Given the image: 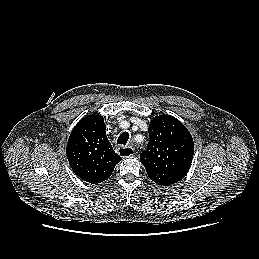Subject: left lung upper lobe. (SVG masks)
<instances>
[{
    "label": "left lung upper lobe",
    "instance_id": "obj_1",
    "mask_svg": "<svg viewBox=\"0 0 259 259\" xmlns=\"http://www.w3.org/2000/svg\"><path fill=\"white\" fill-rule=\"evenodd\" d=\"M149 143L140 155L150 178L164 174L183 178L188 172L194 142L187 128L170 115L156 117L149 124Z\"/></svg>",
    "mask_w": 259,
    "mask_h": 259
}]
</instances>
